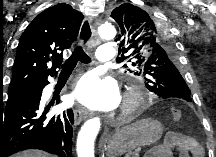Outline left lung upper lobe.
<instances>
[{"instance_id": "left-lung-upper-lobe-1", "label": "left lung upper lobe", "mask_w": 216, "mask_h": 157, "mask_svg": "<svg viewBox=\"0 0 216 157\" xmlns=\"http://www.w3.org/2000/svg\"><path fill=\"white\" fill-rule=\"evenodd\" d=\"M111 17L119 25L116 41L125 54L122 60L131 63L137 72L134 74L144 75L147 89L161 99L191 102V91L181 75L184 69L177 64V48L161 19L130 3L115 8Z\"/></svg>"}]
</instances>
